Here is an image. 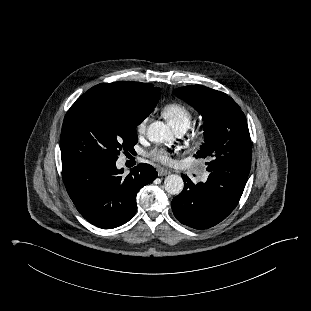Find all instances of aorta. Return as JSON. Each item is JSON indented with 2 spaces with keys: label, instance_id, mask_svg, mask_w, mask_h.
I'll list each match as a JSON object with an SVG mask.
<instances>
[{
  "label": "aorta",
  "instance_id": "obj_1",
  "mask_svg": "<svg viewBox=\"0 0 311 311\" xmlns=\"http://www.w3.org/2000/svg\"><path fill=\"white\" fill-rule=\"evenodd\" d=\"M147 137L151 142L155 143H171L174 139L170 128L161 121H155L148 126ZM183 187L184 182L179 175L171 174L164 180V188L171 195L180 194Z\"/></svg>",
  "mask_w": 311,
  "mask_h": 311
}]
</instances>
